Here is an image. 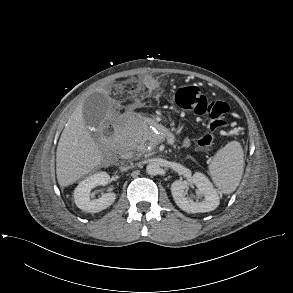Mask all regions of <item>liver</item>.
I'll use <instances>...</instances> for the list:
<instances>
[{
  "label": "liver",
  "instance_id": "6515ba94",
  "mask_svg": "<svg viewBox=\"0 0 293 293\" xmlns=\"http://www.w3.org/2000/svg\"><path fill=\"white\" fill-rule=\"evenodd\" d=\"M102 161V153L85 127L80 105L69 119L58 143L56 175L59 185L65 187L75 183Z\"/></svg>",
  "mask_w": 293,
  "mask_h": 293
}]
</instances>
